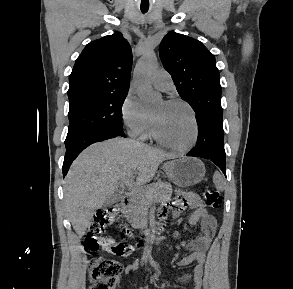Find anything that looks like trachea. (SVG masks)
<instances>
[{
  "label": "trachea",
  "mask_w": 293,
  "mask_h": 289,
  "mask_svg": "<svg viewBox=\"0 0 293 289\" xmlns=\"http://www.w3.org/2000/svg\"><path fill=\"white\" fill-rule=\"evenodd\" d=\"M142 13H146L148 9H141Z\"/></svg>",
  "instance_id": "obj_1"
}]
</instances>
